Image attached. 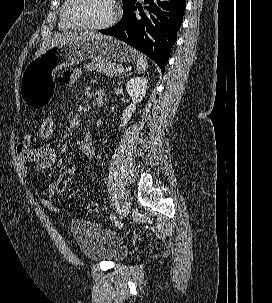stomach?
<instances>
[{"mask_svg": "<svg viewBox=\"0 0 272 303\" xmlns=\"http://www.w3.org/2000/svg\"><path fill=\"white\" fill-rule=\"evenodd\" d=\"M137 57L131 47L107 36L60 43L25 67L20 85L22 100L29 107L46 105L52 97L54 74L86 59L132 62Z\"/></svg>", "mask_w": 272, "mask_h": 303, "instance_id": "obj_1", "label": "stomach"}]
</instances>
